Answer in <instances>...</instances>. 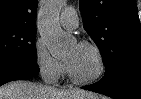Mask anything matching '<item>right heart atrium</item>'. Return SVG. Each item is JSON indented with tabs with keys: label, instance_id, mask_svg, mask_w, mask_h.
<instances>
[{
	"label": "right heart atrium",
	"instance_id": "obj_1",
	"mask_svg": "<svg viewBox=\"0 0 141 99\" xmlns=\"http://www.w3.org/2000/svg\"><path fill=\"white\" fill-rule=\"evenodd\" d=\"M34 61L46 82H57L65 72L64 62L52 56L42 40H37L34 44Z\"/></svg>",
	"mask_w": 141,
	"mask_h": 99
}]
</instances>
